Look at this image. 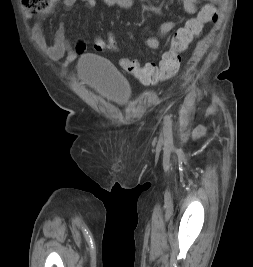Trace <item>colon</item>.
<instances>
[{
	"instance_id": "colon-1",
	"label": "colon",
	"mask_w": 253,
	"mask_h": 267,
	"mask_svg": "<svg viewBox=\"0 0 253 267\" xmlns=\"http://www.w3.org/2000/svg\"><path fill=\"white\" fill-rule=\"evenodd\" d=\"M56 1L21 0V5L25 10L41 12L47 10ZM220 1L210 0V3L202 6L196 17L188 19L182 27L176 30L172 37L171 47L164 53L159 65L147 64L141 67L136 60L122 58L120 61L122 68L147 84L175 76L181 64L180 54L188 48L195 37L201 34L206 24L216 21L218 11L215 4ZM93 47L97 52H121L123 50L112 33H109L106 37L96 38Z\"/></svg>"
}]
</instances>
